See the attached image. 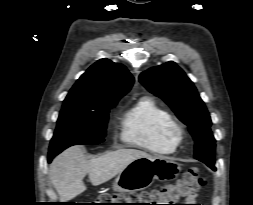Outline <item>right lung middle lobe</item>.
Masks as SVG:
<instances>
[{"mask_svg": "<svg viewBox=\"0 0 253 205\" xmlns=\"http://www.w3.org/2000/svg\"><path fill=\"white\" fill-rule=\"evenodd\" d=\"M119 99L98 106H63L50 143L49 154H59L75 144L95 145L104 141L109 109Z\"/></svg>", "mask_w": 253, "mask_h": 205, "instance_id": "right-lung-middle-lobe-1", "label": "right lung middle lobe"}]
</instances>
